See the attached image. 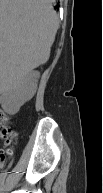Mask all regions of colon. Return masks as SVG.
<instances>
[{
  "label": "colon",
  "mask_w": 103,
  "mask_h": 193,
  "mask_svg": "<svg viewBox=\"0 0 103 193\" xmlns=\"http://www.w3.org/2000/svg\"><path fill=\"white\" fill-rule=\"evenodd\" d=\"M13 132L6 126H3L1 129V134L4 138L7 139V142L10 144L13 141Z\"/></svg>",
  "instance_id": "1"
}]
</instances>
